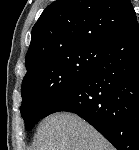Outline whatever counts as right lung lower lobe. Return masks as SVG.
Masks as SVG:
<instances>
[{"label": "right lung lower lobe", "instance_id": "obj_1", "mask_svg": "<svg viewBox=\"0 0 139 150\" xmlns=\"http://www.w3.org/2000/svg\"><path fill=\"white\" fill-rule=\"evenodd\" d=\"M72 112L90 123L117 150H139V24L114 38L90 72L63 93L43 118Z\"/></svg>", "mask_w": 139, "mask_h": 150}]
</instances>
